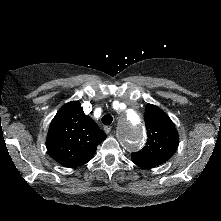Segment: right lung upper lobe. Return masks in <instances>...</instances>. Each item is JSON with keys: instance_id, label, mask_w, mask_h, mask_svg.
Instances as JSON below:
<instances>
[{"instance_id": "1", "label": "right lung upper lobe", "mask_w": 221, "mask_h": 221, "mask_svg": "<svg viewBox=\"0 0 221 221\" xmlns=\"http://www.w3.org/2000/svg\"><path fill=\"white\" fill-rule=\"evenodd\" d=\"M97 124L84 114L79 101L65 104L53 118L46 146L53 159L75 168L90 161L97 146L106 138Z\"/></svg>"}]
</instances>
